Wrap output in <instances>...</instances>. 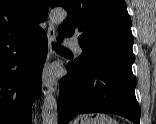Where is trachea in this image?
Here are the masks:
<instances>
[{
  "mask_svg": "<svg viewBox=\"0 0 156 124\" xmlns=\"http://www.w3.org/2000/svg\"><path fill=\"white\" fill-rule=\"evenodd\" d=\"M53 49H55L57 51H68L66 48H64L56 43H53Z\"/></svg>",
  "mask_w": 156,
  "mask_h": 124,
  "instance_id": "3493384b",
  "label": "trachea"
}]
</instances>
